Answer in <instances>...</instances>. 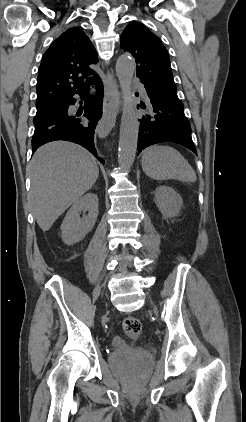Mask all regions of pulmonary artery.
<instances>
[{"label": "pulmonary artery", "instance_id": "1", "mask_svg": "<svg viewBox=\"0 0 246 422\" xmlns=\"http://www.w3.org/2000/svg\"><path fill=\"white\" fill-rule=\"evenodd\" d=\"M133 85L135 86V88H137L139 90V92L141 93V95L146 98L147 97V93L146 90L143 86V84L136 78L133 79Z\"/></svg>", "mask_w": 246, "mask_h": 422}]
</instances>
